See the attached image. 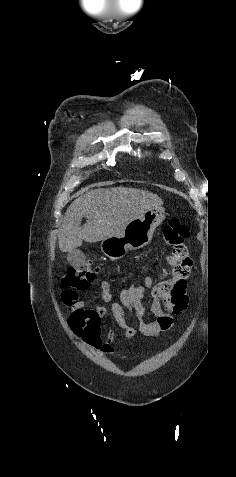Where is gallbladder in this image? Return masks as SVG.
Instances as JSON below:
<instances>
[{"instance_id":"1","label":"gallbladder","mask_w":236,"mask_h":477,"mask_svg":"<svg viewBox=\"0 0 236 477\" xmlns=\"http://www.w3.org/2000/svg\"><path fill=\"white\" fill-rule=\"evenodd\" d=\"M67 259L73 266H79L85 261V256L80 250L74 249L68 253Z\"/></svg>"}]
</instances>
